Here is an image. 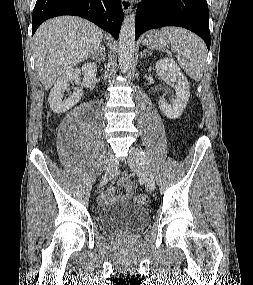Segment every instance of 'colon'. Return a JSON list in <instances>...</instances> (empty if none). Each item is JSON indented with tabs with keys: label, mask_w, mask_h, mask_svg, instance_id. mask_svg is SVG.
Segmentation results:
<instances>
[{
	"label": "colon",
	"mask_w": 253,
	"mask_h": 285,
	"mask_svg": "<svg viewBox=\"0 0 253 285\" xmlns=\"http://www.w3.org/2000/svg\"><path fill=\"white\" fill-rule=\"evenodd\" d=\"M148 201V198L145 194L141 193L135 197V202L139 205H145Z\"/></svg>",
	"instance_id": "colon-1"
}]
</instances>
